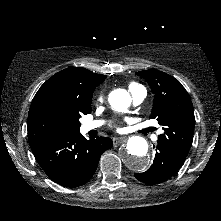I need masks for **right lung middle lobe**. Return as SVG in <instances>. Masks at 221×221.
<instances>
[{
	"mask_svg": "<svg viewBox=\"0 0 221 221\" xmlns=\"http://www.w3.org/2000/svg\"><path fill=\"white\" fill-rule=\"evenodd\" d=\"M91 112V107L82 109L75 101L58 102L45 100L34 111L28 123L29 143L43 141L79 131V118Z\"/></svg>",
	"mask_w": 221,
	"mask_h": 221,
	"instance_id": "dd1d6c3e",
	"label": "right lung middle lobe"
}]
</instances>
